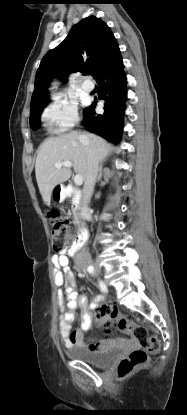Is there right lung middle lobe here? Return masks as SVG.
I'll list each match as a JSON object with an SVG mask.
<instances>
[{
	"label": "right lung middle lobe",
	"instance_id": "obj_1",
	"mask_svg": "<svg viewBox=\"0 0 187 415\" xmlns=\"http://www.w3.org/2000/svg\"><path fill=\"white\" fill-rule=\"evenodd\" d=\"M46 105L39 107L37 109H35L34 111L30 112V127L34 130H37L39 128V120H40V115L42 113L43 108Z\"/></svg>",
	"mask_w": 187,
	"mask_h": 415
}]
</instances>
